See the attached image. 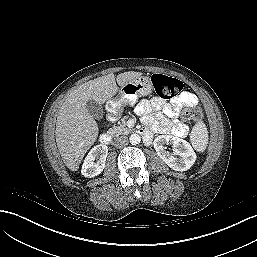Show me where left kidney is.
Wrapping results in <instances>:
<instances>
[{"mask_svg":"<svg viewBox=\"0 0 257 257\" xmlns=\"http://www.w3.org/2000/svg\"><path fill=\"white\" fill-rule=\"evenodd\" d=\"M172 145L173 153L166 150L164 145ZM158 156L173 170L186 171L192 167L196 160V153L191 145L172 135H160L153 142ZM176 156H180L177 158Z\"/></svg>","mask_w":257,"mask_h":257,"instance_id":"obj_1","label":"left kidney"}]
</instances>
